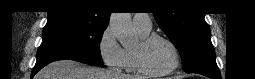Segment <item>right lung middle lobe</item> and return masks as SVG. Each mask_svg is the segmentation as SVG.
Segmentation results:
<instances>
[{
    "label": "right lung middle lobe",
    "instance_id": "1",
    "mask_svg": "<svg viewBox=\"0 0 255 79\" xmlns=\"http://www.w3.org/2000/svg\"><path fill=\"white\" fill-rule=\"evenodd\" d=\"M106 27L65 21L47 23L36 64L57 60H76L89 65L103 64L100 40Z\"/></svg>",
    "mask_w": 255,
    "mask_h": 79
}]
</instances>
